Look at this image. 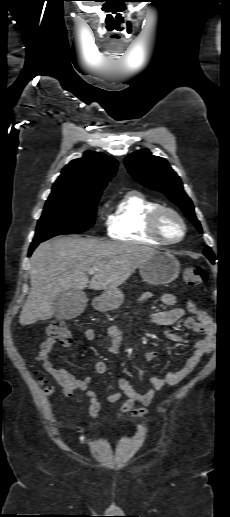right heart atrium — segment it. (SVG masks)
Returning <instances> with one entry per match:
<instances>
[{"label": "right heart atrium", "mask_w": 230, "mask_h": 517, "mask_svg": "<svg viewBox=\"0 0 230 517\" xmlns=\"http://www.w3.org/2000/svg\"><path fill=\"white\" fill-rule=\"evenodd\" d=\"M105 207H106V205H104V206L101 208V210H100V216H101V218H102V219L104 218V211H105Z\"/></svg>", "instance_id": "right-heart-atrium-1"}]
</instances>
